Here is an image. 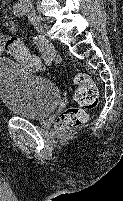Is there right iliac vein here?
Segmentation results:
<instances>
[{"instance_id":"1","label":"right iliac vein","mask_w":123,"mask_h":201,"mask_svg":"<svg viewBox=\"0 0 123 201\" xmlns=\"http://www.w3.org/2000/svg\"><path fill=\"white\" fill-rule=\"evenodd\" d=\"M26 12L28 14V18L31 21L34 28L41 34L46 35L47 29L42 24L40 18L36 14L35 10L32 7H26Z\"/></svg>"}]
</instances>
